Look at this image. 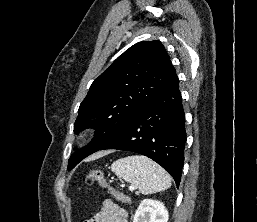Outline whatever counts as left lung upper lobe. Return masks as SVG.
<instances>
[{"label": "left lung upper lobe", "instance_id": "1", "mask_svg": "<svg viewBox=\"0 0 257 222\" xmlns=\"http://www.w3.org/2000/svg\"><path fill=\"white\" fill-rule=\"evenodd\" d=\"M176 71L159 41H142L120 55L90 86L74 123L78 134L96 127V137L73 154L68 169L109 143L174 78Z\"/></svg>", "mask_w": 257, "mask_h": 222}]
</instances>
